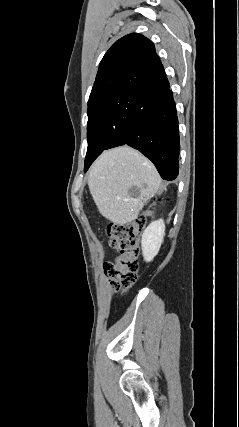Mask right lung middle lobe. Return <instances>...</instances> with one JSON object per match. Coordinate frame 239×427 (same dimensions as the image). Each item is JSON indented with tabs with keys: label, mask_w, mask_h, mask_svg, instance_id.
<instances>
[{
	"label": "right lung middle lobe",
	"mask_w": 239,
	"mask_h": 427,
	"mask_svg": "<svg viewBox=\"0 0 239 427\" xmlns=\"http://www.w3.org/2000/svg\"><path fill=\"white\" fill-rule=\"evenodd\" d=\"M143 102V97L129 95L88 105L85 172L104 150L120 146L127 139L132 119Z\"/></svg>",
	"instance_id": "right-lung-middle-lobe-1"
}]
</instances>
